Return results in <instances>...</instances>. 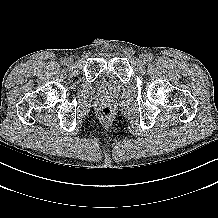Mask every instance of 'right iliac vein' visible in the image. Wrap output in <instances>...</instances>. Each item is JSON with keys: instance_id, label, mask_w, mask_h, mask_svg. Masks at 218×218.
Wrapping results in <instances>:
<instances>
[{"instance_id": "right-iliac-vein-1", "label": "right iliac vein", "mask_w": 218, "mask_h": 218, "mask_svg": "<svg viewBox=\"0 0 218 218\" xmlns=\"http://www.w3.org/2000/svg\"><path fill=\"white\" fill-rule=\"evenodd\" d=\"M72 63H73V59L71 57L66 59V64H72Z\"/></svg>"}]
</instances>
